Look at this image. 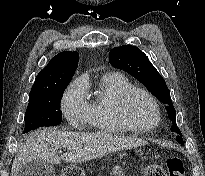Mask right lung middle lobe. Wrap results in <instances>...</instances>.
<instances>
[{
    "mask_svg": "<svg viewBox=\"0 0 205 176\" xmlns=\"http://www.w3.org/2000/svg\"><path fill=\"white\" fill-rule=\"evenodd\" d=\"M66 87L67 85H63L45 94L29 96L23 133L39 127L56 126L62 122L60 101Z\"/></svg>",
    "mask_w": 205,
    "mask_h": 176,
    "instance_id": "1",
    "label": "right lung middle lobe"
}]
</instances>
